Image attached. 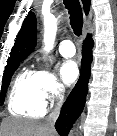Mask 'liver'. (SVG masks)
I'll return each mask as SVG.
<instances>
[{"instance_id":"obj_1","label":"liver","mask_w":117,"mask_h":136,"mask_svg":"<svg viewBox=\"0 0 117 136\" xmlns=\"http://www.w3.org/2000/svg\"><path fill=\"white\" fill-rule=\"evenodd\" d=\"M3 136H55V131L46 124L28 119L9 117L3 120Z\"/></svg>"}]
</instances>
